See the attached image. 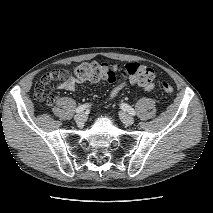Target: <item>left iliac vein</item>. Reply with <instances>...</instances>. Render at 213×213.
<instances>
[{"mask_svg":"<svg viewBox=\"0 0 213 213\" xmlns=\"http://www.w3.org/2000/svg\"><path fill=\"white\" fill-rule=\"evenodd\" d=\"M119 117L125 125H132L134 123L133 117L126 114L125 112H119Z\"/></svg>","mask_w":213,"mask_h":213,"instance_id":"4c4485c4","label":"left iliac vein"}]
</instances>
